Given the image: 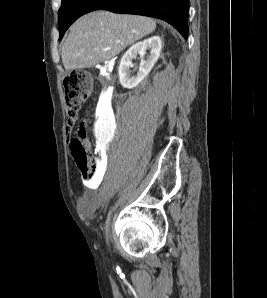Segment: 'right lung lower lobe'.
<instances>
[{"label":"right lung lower lobe","instance_id":"1","mask_svg":"<svg viewBox=\"0 0 267 298\" xmlns=\"http://www.w3.org/2000/svg\"><path fill=\"white\" fill-rule=\"evenodd\" d=\"M188 2L189 0H98L90 11L104 9L158 18L170 23L187 39Z\"/></svg>","mask_w":267,"mask_h":298}]
</instances>
